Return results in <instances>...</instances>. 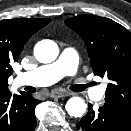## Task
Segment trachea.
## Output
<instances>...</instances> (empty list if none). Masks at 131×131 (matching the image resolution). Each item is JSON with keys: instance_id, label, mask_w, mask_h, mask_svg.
<instances>
[{"instance_id": "1", "label": "trachea", "mask_w": 131, "mask_h": 131, "mask_svg": "<svg viewBox=\"0 0 131 131\" xmlns=\"http://www.w3.org/2000/svg\"><path fill=\"white\" fill-rule=\"evenodd\" d=\"M87 86L88 85H74V86H71L70 89L73 90V91L80 92V91H83L84 88L87 87Z\"/></svg>"}]
</instances>
